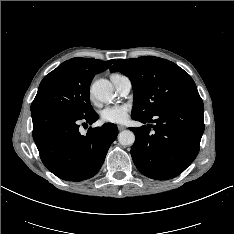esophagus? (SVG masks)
<instances>
[{"label": "esophagus", "instance_id": "1", "mask_svg": "<svg viewBox=\"0 0 234 234\" xmlns=\"http://www.w3.org/2000/svg\"><path fill=\"white\" fill-rule=\"evenodd\" d=\"M117 128H118L119 131H122V130L126 129V127L123 126V125H118Z\"/></svg>", "mask_w": 234, "mask_h": 234}]
</instances>
